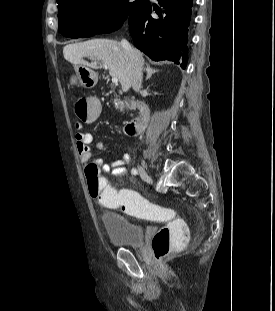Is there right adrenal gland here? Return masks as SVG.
I'll list each match as a JSON object with an SVG mask.
<instances>
[{
    "instance_id": "1",
    "label": "right adrenal gland",
    "mask_w": 275,
    "mask_h": 311,
    "mask_svg": "<svg viewBox=\"0 0 275 311\" xmlns=\"http://www.w3.org/2000/svg\"><path fill=\"white\" fill-rule=\"evenodd\" d=\"M145 70L147 72L146 80H149L154 73L159 71L158 69L152 68L148 63L146 64V69Z\"/></svg>"
}]
</instances>
